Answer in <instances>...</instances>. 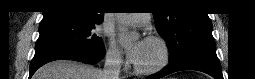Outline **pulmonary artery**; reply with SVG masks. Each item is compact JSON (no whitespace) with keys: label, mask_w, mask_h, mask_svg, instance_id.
Listing matches in <instances>:
<instances>
[{"label":"pulmonary artery","mask_w":255,"mask_h":79,"mask_svg":"<svg viewBox=\"0 0 255 79\" xmlns=\"http://www.w3.org/2000/svg\"><path fill=\"white\" fill-rule=\"evenodd\" d=\"M150 14H128L124 16L125 24H145L150 22Z\"/></svg>","instance_id":"e3ab8cb5"}]
</instances>
